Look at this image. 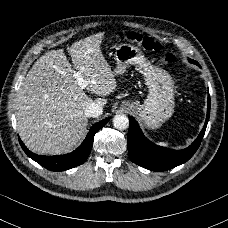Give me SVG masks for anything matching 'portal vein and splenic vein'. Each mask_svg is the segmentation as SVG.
<instances>
[{"mask_svg":"<svg viewBox=\"0 0 228 228\" xmlns=\"http://www.w3.org/2000/svg\"><path fill=\"white\" fill-rule=\"evenodd\" d=\"M75 76H76V79H77L80 87L86 88L87 86H89V83L86 80H84V78L82 77V74L80 72H76ZM93 84L96 85L97 83L93 82Z\"/></svg>","mask_w":228,"mask_h":228,"instance_id":"18ae733b","label":"portal vein and splenic vein"}]
</instances>
